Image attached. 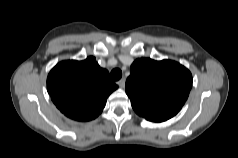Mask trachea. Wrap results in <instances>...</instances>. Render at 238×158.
Masks as SVG:
<instances>
[{
    "label": "trachea",
    "mask_w": 238,
    "mask_h": 158,
    "mask_svg": "<svg viewBox=\"0 0 238 158\" xmlns=\"http://www.w3.org/2000/svg\"><path fill=\"white\" fill-rule=\"evenodd\" d=\"M111 77L114 79V80H119L121 79L122 77V71L118 68H115L111 71Z\"/></svg>",
    "instance_id": "obj_1"
}]
</instances>
